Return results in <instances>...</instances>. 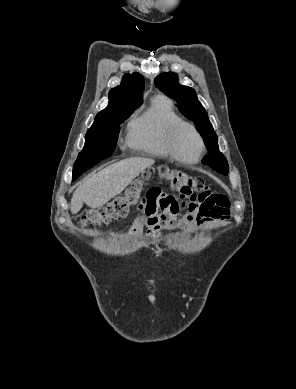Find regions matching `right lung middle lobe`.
Segmentation results:
<instances>
[{
	"mask_svg": "<svg viewBox=\"0 0 296 389\" xmlns=\"http://www.w3.org/2000/svg\"><path fill=\"white\" fill-rule=\"evenodd\" d=\"M137 107L125 108L105 117L95 119L87 131L85 145L73 168L86 164L95 165L110 157L115 150L118 139L119 125L129 117Z\"/></svg>",
	"mask_w": 296,
	"mask_h": 389,
	"instance_id": "right-lung-middle-lobe-1",
	"label": "right lung middle lobe"
}]
</instances>
